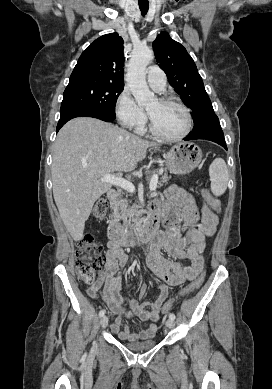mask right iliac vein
<instances>
[{"label":"right iliac vein","mask_w":272,"mask_h":389,"mask_svg":"<svg viewBox=\"0 0 272 389\" xmlns=\"http://www.w3.org/2000/svg\"><path fill=\"white\" fill-rule=\"evenodd\" d=\"M100 325L102 328H105L108 325V317L107 316H103L101 318Z\"/></svg>","instance_id":"1"}]
</instances>
